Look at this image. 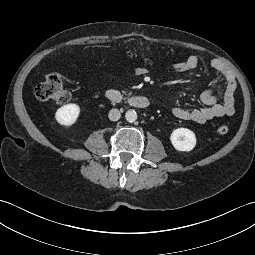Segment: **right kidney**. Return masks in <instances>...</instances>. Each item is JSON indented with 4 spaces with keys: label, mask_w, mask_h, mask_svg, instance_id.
Here are the masks:
<instances>
[{
    "label": "right kidney",
    "mask_w": 255,
    "mask_h": 255,
    "mask_svg": "<svg viewBox=\"0 0 255 255\" xmlns=\"http://www.w3.org/2000/svg\"><path fill=\"white\" fill-rule=\"evenodd\" d=\"M79 114L80 107L77 104H67L56 111L55 119L60 125L70 127L77 121Z\"/></svg>",
    "instance_id": "obj_1"
}]
</instances>
